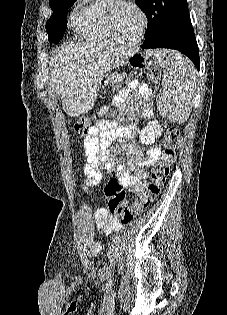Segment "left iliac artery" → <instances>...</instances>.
<instances>
[{"instance_id":"44dca946","label":"left iliac artery","mask_w":227,"mask_h":315,"mask_svg":"<svg viewBox=\"0 0 227 315\" xmlns=\"http://www.w3.org/2000/svg\"><path fill=\"white\" fill-rule=\"evenodd\" d=\"M119 241H120L119 236H115L113 239L114 244L117 245L119 243Z\"/></svg>"}]
</instances>
